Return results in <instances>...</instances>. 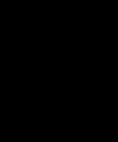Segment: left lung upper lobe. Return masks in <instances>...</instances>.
Segmentation results:
<instances>
[{"label": "left lung upper lobe", "instance_id": "obj_1", "mask_svg": "<svg viewBox=\"0 0 118 142\" xmlns=\"http://www.w3.org/2000/svg\"><path fill=\"white\" fill-rule=\"evenodd\" d=\"M67 61L79 91L71 111L94 129L105 130L118 117V70L90 50L72 52Z\"/></svg>", "mask_w": 118, "mask_h": 142}]
</instances>
